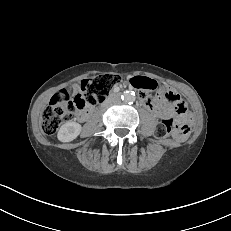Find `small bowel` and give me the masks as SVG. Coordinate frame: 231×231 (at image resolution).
<instances>
[{"label":"small bowel","instance_id":"1","mask_svg":"<svg viewBox=\"0 0 231 231\" xmlns=\"http://www.w3.org/2000/svg\"><path fill=\"white\" fill-rule=\"evenodd\" d=\"M145 78H147V77H145ZM147 79L154 81L151 78H147ZM75 89H77V88H75ZM166 91L169 92V94L172 96V98H173L172 102L173 103H180V97L174 90L166 89ZM143 98L148 100V103H145V105L151 110V112L155 116L167 115V114H170L172 111L173 106H172L171 102L162 105L158 101L149 98L147 94H143ZM86 116H87L86 113H82L81 119H85Z\"/></svg>","mask_w":231,"mask_h":231}]
</instances>
